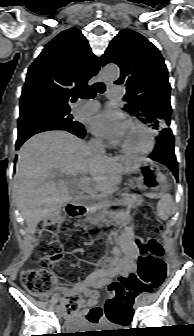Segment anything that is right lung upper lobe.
I'll return each mask as SVG.
<instances>
[{"instance_id": "right-lung-upper-lobe-1", "label": "right lung upper lobe", "mask_w": 194, "mask_h": 336, "mask_svg": "<svg viewBox=\"0 0 194 336\" xmlns=\"http://www.w3.org/2000/svg\"><path fill=\"white\" fill-rule=\"evenodd\" d=\"M100 61L78 28L61 32L28 68L20 98V118L41 110L70 109V98L88 87Z\"/></svg>"}]
</instances>
